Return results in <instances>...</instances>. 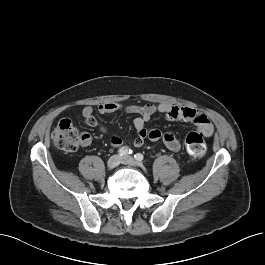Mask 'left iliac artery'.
<instances>
[{
    "label": "left iliac artery",
    "instance_id": "left-iliac-artery-1",
    "mask_svg": "<svg viewBox=\"0 0 265 265\" xmlns=\"http://www.w3.org/2000/svg\"><path fill=\"white\" fill-rule=\"evenodd\" d=\"M134 158L137 160V161H142L143 160V155L141 153H137L134 155Z\"/></svg>",
    "mask_w": 265,
    "mask_h": 265
}]
</instances>
